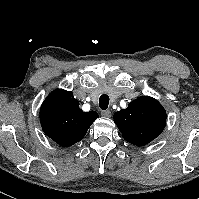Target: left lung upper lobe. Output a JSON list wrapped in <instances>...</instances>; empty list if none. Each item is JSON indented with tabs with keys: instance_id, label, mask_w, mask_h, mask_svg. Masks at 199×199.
Here are the masks:
<instances>
[{
	"instance_id": "obj_1",
	"label": "left lung upper lobe",
	"mask_w": 199,
	"mask_h": 199,
	"mask_svg": "<svg viewBox=\"0 0 199 199\" xmlns=\"http://www.w3.org/2000/svg\"><path fill=\"white\" fill-rule=\"evenodd\" d=\"M113 119L126 141L145 145L164 130L166 111L156 99L141 96L116 112Z\"/></svg>"
}]
</instances>
